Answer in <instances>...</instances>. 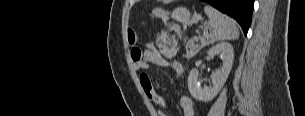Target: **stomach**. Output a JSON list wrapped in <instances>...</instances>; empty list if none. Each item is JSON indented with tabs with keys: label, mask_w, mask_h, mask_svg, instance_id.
Wrapping results in <instances>:
<instances>
[{
	"label": "stomach",
	"mask_w": 305,
	"mask_h": 116,
	"mask_svg": "<svg viewBox=\"0 0 305 116\" xmlns=\"http://www.w3.org/2000/svg\"><path fill=\"white\" fill-rule=\"evenodd\" d=\"M152 14L155 17L162 18L163 20H168L169 19V13L164 11L161 8H155L152 11ZM171 18H173L175 21L186 24V25H192L200 19V15L194 14L191 16L190 11L186 9L185 7H177L176 9L173 10L171 13Z\"/></svg>",
	"instance_id": "1"
}]
</instances>
